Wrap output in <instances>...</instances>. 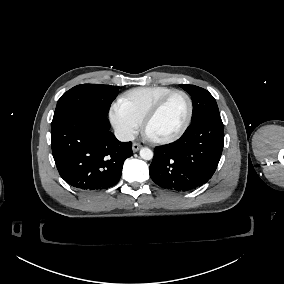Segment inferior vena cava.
Masks as SVG:
<instances>
[{"mask_svg": "<svg viewBox=\"0 0 284 284\" xmlns=\"http://www.w3.org/2000/svg\"><path fill=\"white\" fill-rule=\"evenodd\" d=\"M115 136L119 141L122 142L133 141L135 139V136L132 132L122 128L115 130Z\"/></svg>", "mask_w": 284, "mask_h": 284, "instance_id": "inferior-vena-cava-1", "label": "inferior vena cava"}]
</instances>
